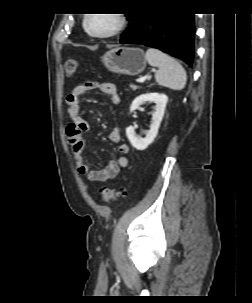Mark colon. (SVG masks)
<instances>
[{"mask_svg":"<svg viewBox=\"0 0 252 303\" xmlns=\"http://www.w3.org/2000/svg\"><path fill=\"white\" fill-rule=\"evenodd\" d=\"M79 66V61L76 59H68L65 62V72L68 76H72ZM102 200L106 203L115 202L118 198L126 194L125 190H117L113 188L104 187L100 191Z\"/></svg>","mask_w":252,"mask_h":303,"instance_id":"1","label":"colon"}]
</instances>
